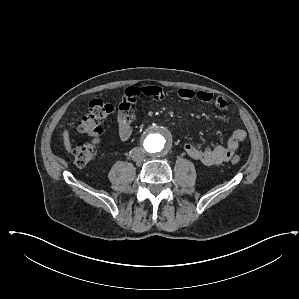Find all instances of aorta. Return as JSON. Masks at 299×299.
I'll list each match as a JSON object with an SVG mask.
<instances>
[{"instance_id": "aorta-1", "label": "aorta", "mask_w": 299, "mask_h": 299, "mask_svg": "<svg viewBox=\"0 0 299 299\" xmlns=\"http://www.w3.org/2000/svg\"><path fill=\"white\" fill-rule=\"evenodd\" d=\"M143 146L150 155H159L168 147V139L160 131H154L144 139Z\"/></svg>"}]
</instances>
